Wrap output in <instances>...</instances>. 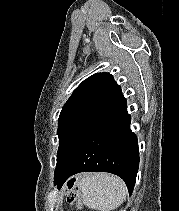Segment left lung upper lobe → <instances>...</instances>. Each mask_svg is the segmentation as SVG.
Returning a JSON list of instances; mask_svg holds the SVG:
<instances>
[{"mask_svg": "<svg viewBox=\"0 0 179 211\" xmlns=\"http://www.w3.org/2000/svg\"><path fill=\"white\" fill-rule=\"evenodd\" d=\"M120 93V86L109 73L94 74L74 90L58 120L55 174L62 173L69 165L95 121Z\"/></svg>", "mask_w": 179, "mask_h": 211, "instance_id": "5c2ea615", "label": "left lung upper lobe"}]
</instances>
